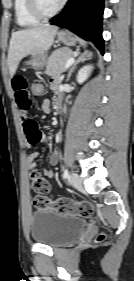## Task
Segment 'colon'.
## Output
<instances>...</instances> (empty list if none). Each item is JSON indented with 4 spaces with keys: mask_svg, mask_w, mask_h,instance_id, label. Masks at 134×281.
Wrapping results in <instances>:
<instances>
[{
    "mask_svg": "<svg viewBox=\"0 0 134 281\" xmlns=\"http://www.w3.org/2000/svg\"><path fill=\"white\" fill-rule=\"evenodd\" d=\"M30 92L34 97L42 96L45 92L44 83L41 81H33L30 84ZM31 182L34 191L38 193L33 201L37 210L52 209L60 214L79 215L82 217H90L93 215L94 208L89 202H78L69 198H58L52 201L45 196L44 193L49 191L50 186L49 183L41 177L39 171L35 170L32 172Z\"/></svg>",
    "mask_w": 134,
    "mask_h": 281,
    "instance_id": "colon-1",
    "label": "colon"
}]
</instances>
